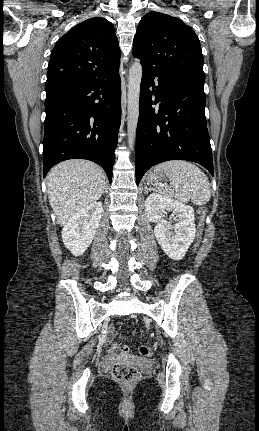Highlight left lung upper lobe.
<instances>
[{"instance_id": "5c2ea615", "label": "left lung upper lobe", "mask_w": 259, "mask_h": 431, "mask_svg": "<svg viewBox=\"0 0 259 431\" xmlns=\"http://www.w3.org/2000/svg\"><path fill=\"white\" fill-rule=\"evenodd\" d=\"M132 51L142 66L204 88L200 41L182 20L159 12L147 13L139 22Z\"/></svg>"}]
</instances>
